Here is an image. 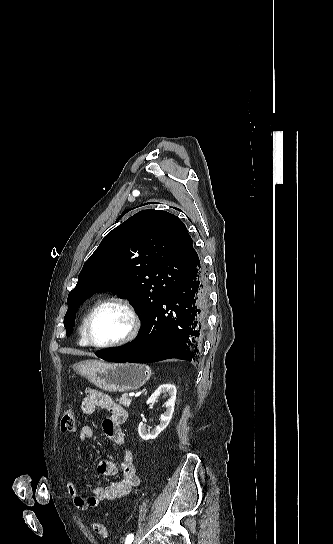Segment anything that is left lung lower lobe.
Wrapping results in <instances>:
<instances>
[{
    "mask_svg": "<svg viewBox=\"0 0 333 544\" xmlns=\"http://www.w3.org/2000/svg\"><path fill=\"white\" fill-rule=\"evenodd\" d=\"M207 303V275L199 262L143 320L141 331L132 342L95 354L111 362L123 359L146 363L169 358L195 361L206 327Z\"/></svg>",
    "mask_w": 333,
    "mask_h": 544,
    "instance_id": "1",
    "label": "left lung lower lobe"
}]
</instances>
